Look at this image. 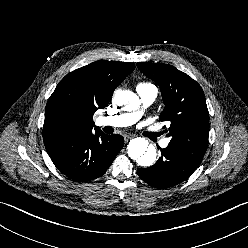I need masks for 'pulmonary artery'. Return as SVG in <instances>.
Returning a JSON list of instances; mask_svg holds the SVG:
<instances>
[{"instance_id":"e3ab8cb5","label":"pulmonary artery","mask_w":248,"mask_h":248,"mask_svg":"<svg viewBox=\"0 0 248 248\" xmlns=\"http://www.w3.org/2000/svg\"><path fill=\"white\" fill-rule=\"evenodd\" d=\"M137 92L141 98L144 107L151 105L158 94V90L155 86L149 85L144 88H137ZM142 115V111L125 113L116 116L100 117L97 120L99 126H112V127H126L134 124ZM169 140L165 139L161 142L163 148L167 147Z\"/></svg>"}]
</instances>
